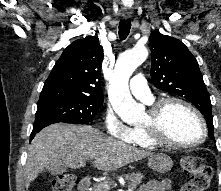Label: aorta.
Masks as SVG:
<instances>
[{
    "instance_id": "aorta-1",
    "label": "aorta",
    "mask_w": 221,
    "mask_h": 191,
    "mask_svg": "<svg viewBox=\"0 0 221 191\" xmlns=\"http://www.w3.org/2000/svg\"><path fill=\"white\" fill-rule=\"evenodd\" d=\"M148 57L146 47L136 46L117 59L110 79L109 100L115 112L127 123L137 122L143 115V106L136 103L129 91V78Z\"/></svg>"
}]
</instances>
